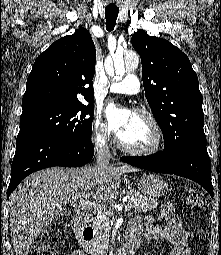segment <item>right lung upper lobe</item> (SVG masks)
Masks as SVG:
<instances>
[{"mask_svg":"<svg viewBox=\"0 0 221 255\" xmlns=\"http://www.w3.org/2000/svg\"><path fill=\"white\" fill-rule=\"evenodd\" d=\"M96 51L90 33L79 28L38 56L27 79L23 110L50 104L94 100Z\"/></svg>","mask_w":221,"mask_h":255,"instance_id":"obj_1","label":"right lung upper lobe"}]
</instances>
